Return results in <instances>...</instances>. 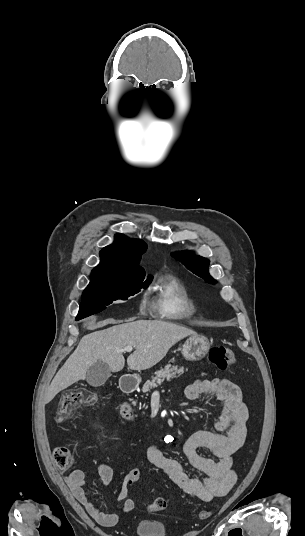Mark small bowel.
Returning <instances> with one entry per match:
<instances>
[{"label": "small bowel", "instance_id": "c3829d8e", "mask_svg": "<svg viewBox=\"0 0 305 536\" xmlns=\"http://www.w3.org/2000/svg\"><path fill=\"white\" fill-rule=\"evenodd\" d=\"M184 394L189 401L197 400L205 394L216 396L223 405L220 417L212 423V429H198L182 442L166 437L161 445H150L146 457L188 496L210 502L216 497L227 495L236 483L232 458L247 437L249 414L239 387L227 379H198L185 389ZM162 448L180 450L190 465L204 476L190 477L182 464L175 458L166 456ZM198 449L209 452L215 458L198 454ZM98 475L104 486H108L113 479V471L106 463L99 464ZM65 480L74 497L96 523L102 527H113L118 523L117 514L102 512L88 497L83 470L71 471ZM126 482L127 475L120 486L117 500L122 502V511L129 513L135 509L136 503L128 498Z\"/></svg>", "mask_w": 305, "mask_h": 536}]
</instances>
